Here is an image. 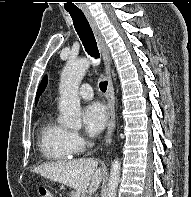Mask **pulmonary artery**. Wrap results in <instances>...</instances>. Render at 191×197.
Listing matches in <instances>:
<instances>
[{
	"label": "pulmonary artery",
	"mask_w": 191,
	"mask_h": 197,
	"mask_svg": "<svg viewBox=\"0 0 191 197\" xmlns=\"http://www.w3.org/2000/svg\"><path fill=\"white\" fill-rule=\"evenodd\" d=\"M78 93H79V96L84 100H90L93 98V90L89 84H83L79 88Z\"/></svg>",
	"instance_id": "pulmonary-artery-1"
}]
</instances>
